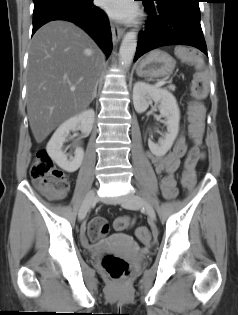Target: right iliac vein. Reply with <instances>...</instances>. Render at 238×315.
Listing matches in <instances>:
<instances>
[{
    "instance_id": "63e3f726",
    "label": "right iliac vein",
    "mask_w": 238,
    "mask_h": 315,
    "mask_svg": "<svg viewBox=\"0 0 238 315\" xmlns=\"http://www.w3.org/2000/svg\"><path fill=\"white\" fill-rule=\"evenodd\" d=\"M95 200H96V195H95L94 190L89 191L86 194L85 199L82 203V206L79 210V213H78L79 220H83L86 217L87 212L89 211L91 205L94 203Z\"/></svg>"
}]
</instances>
